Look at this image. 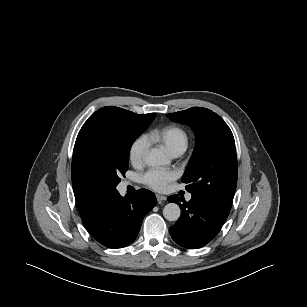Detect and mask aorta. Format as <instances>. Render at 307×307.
Instances as JSON below:
<instances>
[{"label": "aorta", "mask_w": 307, "mask_h": 307, "mask_svg": "<svg viewBox=\"0 0 307 307\" xmlns=\"http://www.w3.org/2000/svg\"><path fill=\"white\" fill-rule=\"evenodd\" d=\"M145 163L149 166H161L169 163V159L159 149L150 150L145 156ZM181 215L180 207L175 203H168L163 209V216L168 221H176Z\"/></svg>", "instance_id": "1"}]
</instances>
